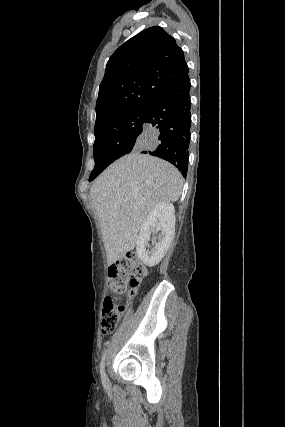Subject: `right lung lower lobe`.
Here are the masks:
<instances>
[{
    "instance_id": "98d812e1",
    "label": "right lung lower lobe",
    "mask_w": 285,
    "mask_h": 427,
    "mask_svg": "<svg viewBox=\"0 0 285 427\" xmlns=\"http://www.w3.org/2000/svg\"><path fill=\"white\" fill-rule=\"evenodd\" d=\"M190 86L187 76L146 105L141 143L136 147L141 153L172 163L184 177L188 169L190 144ZM98 175H94L92 180Z\"/></svg>"
}]
</instances>
